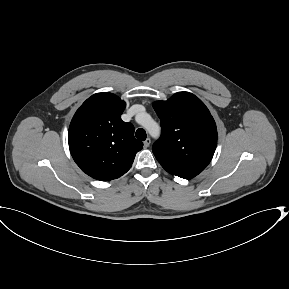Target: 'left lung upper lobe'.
Wrapping results in <instances>:
<instances>
[{
	"label": "left lung upper lobe",
	"instance_id": "obj_1",
	"mask_svg": "<svg viewBox=\"0 0 289 289\" xmlns=\"http://www.w3.org/2000/svg\"><path fill=\"white\" fill-rule=\"evenodd\" d=\"M162 133L153 153L170 174L191 179L210 163L217 145L215 121L204 103L189 92L154 102Z\"/></svg>",
	"mask_w": 289,
	"mask_h": 289
}]
</instances>
